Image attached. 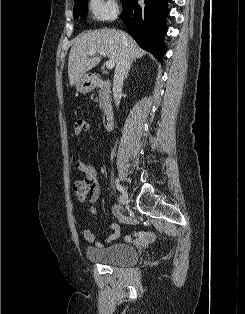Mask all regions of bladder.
I'll return each instance as SVG.
<instances>
[{
    "label": "bladder",
    "instance_id": "bladder-1",
    "mask_svg": "<svg viewBox=\"0 0 245 314\" xmlns=\"http://www.w3.org/2000/svg\"><path fill=\"white\" fill-rule=\"evenodd\" d=\"M86 257L89 261L108 265H130L138 260L135 249L125 244H112L106 247H88Z\"/></svg>",
    "mask_w": 245,
    "mask_h": 314
}]
</instances>
